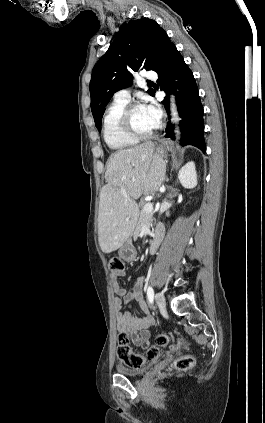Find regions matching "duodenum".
Listing matches in <instances>:
<instances>
[{
	"mask_svg": "<svg viewBox=\"0 0 265 423\" xmlns=\"http://www.w3.org/2000/svg\"><path fill=\"white\" fill-rule=\"evenodd\" d=\"M163 236H164V228L162 226L156 227V229L154 231L153 238L150 241L149 246H148V252L150 254H154L157 251V249H158V247H159V245H160V243L163 239Z\"/></svg>",
	"mask_w": 265,
	"mask_h": 423,
	"instance_id": "obj_1",
	"label": "duodenum"
}]
</instances>
